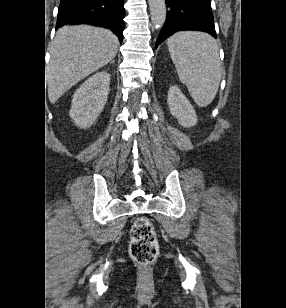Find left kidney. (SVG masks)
<instances>
[{
  "instance_id": "left-kidney-1",
  "label": "left kidney",
  "mask_w": 286,
  "mask_h": 308,
  "mask_svg": "<svg viewBox=\"0 0 286 308\" xmlns=\"http://www.w3.org/2000/svg\"><path fill=\"white\" fill-rule=\"evenodd\" d=\"M167 104L171 114L177 118L181 126L189 128L197 124L193 106L176 85L169 88Z\"/></svg>"
}]
</instances>
